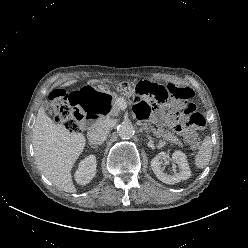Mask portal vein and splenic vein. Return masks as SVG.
Instances as JSON below:
<instances>
[{"mask_svg":"<svg viewBox=\"0 0 248 248\" xmlns=\"http://www.w3.org/2000/svg\"><path fill=\"white\" fill-rule=\"evenodd\" d=\"M123 101V100H122ZM126 104L125 103H123V102H119V108L121 109V110H125L126 109Z\"/></svg>","mask_w":248,"mask_h":248,"instance_id":"obj_1","label":"portal vein and splenic vein"}]
</instances>
